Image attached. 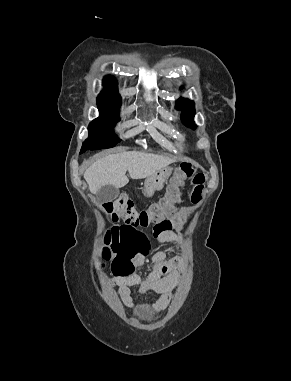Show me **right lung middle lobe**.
<instances>
[{
  "mask_svg": "<svg viewBox=\"0 0 291 381\" xmlns=\"http://www.w3.org/2000/svg\"><path fill=\"white\" fill-rule=\"evenodd\" d=\"M97 106L100 116L89 124V137L83 143L82 153L89 149L111 148L120 141L112 131L115 123L120 120V105L97 100Z\"/></svg>",
  "mask_w": 291,
  "mask_h": 381,
  "instance_id": "obj_1",
  "label": "right lung middle lobe"
}]
</instances>
